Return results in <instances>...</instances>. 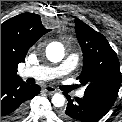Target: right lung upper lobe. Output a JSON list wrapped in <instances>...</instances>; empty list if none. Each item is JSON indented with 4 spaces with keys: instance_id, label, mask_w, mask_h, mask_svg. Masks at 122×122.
<instances>
[{
    "instance_id": "right-lung-upper-lobe-1",
    "label": "right lung upper lobe",
    "mask_w": 122,
    "mask_h": 122,
    "mask_svg": "<svg viewBox=\"0 0 122 122\" xmlns=\"http://www.w3.org/2000/svg\"><path fill=\"white\" fill-rule=\"evenodd\" d=\"M50 30L37 14L22 13L1 24V79L19 78L17 66L31 46Z\"/></svg>"
}]
</instances>
